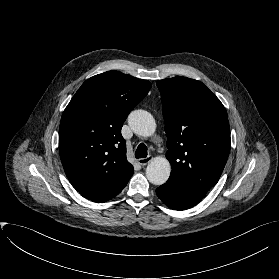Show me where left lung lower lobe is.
<instances>
[{
    "mask_svg": "<svg viewBox=\"0 0 279 279\" xmlns=\"http://www.w3.org/2000/svg\"><path fill=\"white\" fill-rule=\"evenodd\" d=\"M157 196L174 210H186L198 204L206 192L181 184L172 179L156 189Z\"/></svg>",
    "mask_w": 279,
    "mask_h": 279,
    "instance_id": "obj_1",
    "label": "left lung lower lobe"
}]
</instances>
